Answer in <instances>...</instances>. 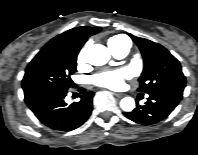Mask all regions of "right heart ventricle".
Listing matches in <instances>:
<instances>
[{
  "label": "right heart ventricle",
  "mask_w": 198,
  "mask_h": 155,
  "mask_svg": "<svg viewBox=\"0 0 198 155\" xmlns=\"http://www.w3.org/2000/svg\"><path fill=\"white\" fill-rule=\"evenodd\" d=\"M122 36H113L111 37L109 40H108V44L112 43V42H115V41H118L119 39H121Z\"/></svg>",
  "instance_id": "e07e8e85"
}]
</instances>
